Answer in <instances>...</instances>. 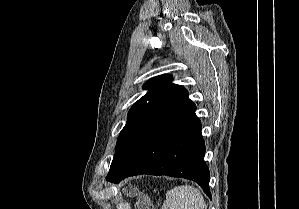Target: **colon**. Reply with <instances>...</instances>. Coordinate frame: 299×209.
Listing matches in <instances>:
<instances>
[{
	"label": "colon",
	"mask_w": 299,
	"mask_h": 209,
	"mask_svg": "<svg viewBox=\"0 0 299 209\" xmlns=\"http://www.w3.org/2000/svg\"><path fill=\"white\" fill-rule=\"evenodd\" d=\"M125 193L130 196L137 195L136 190L131 186L125 188ZM137 197L135 209H153L150 200L145 195L139 194Z\"/></svg>",
	"instance_id": "colon-1"
}]
</instances>
